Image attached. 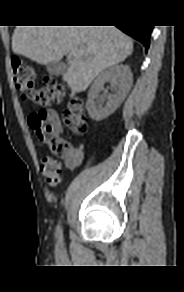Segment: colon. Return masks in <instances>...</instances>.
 Masks as SVG:
<instances>
[{
  "mask_svg": "<svg viewBox=\"0 0 184 292\" xmlns=\"http://www.w3.org/2000/svg\"><path fill=\"white\" fill-rule=\"evenodd\" d=\"M11 64L14 83L23 99L39 108L29 117V124L38 142L48 148L41 161V170L47 183L56 186L60 183V160H66L72 152L70 144L59 136L60 125L62 122L75 134H84L87 130L84 101L71 92L65 110L58 116L50 106L63 99L66 87L55 78L47 77L40 88H35L33 68L19 58H13Z\"/></svg>",
  "mask_w": 184,
  "mask_h": 292,
  "instance_id": "5ec220e1",
  "label": "colon"
}]
</instances>
